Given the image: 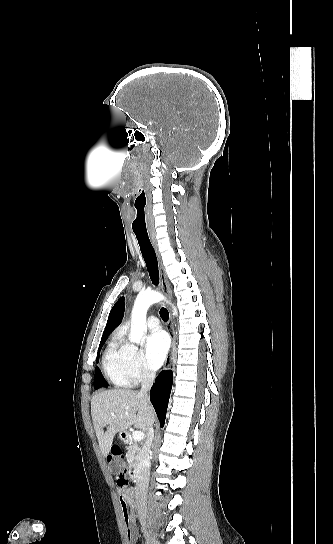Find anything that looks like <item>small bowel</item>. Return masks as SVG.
<instances>
[{
	"mask_svg": "<svg viewBox=\"0 0 333 544\" xmlns=\"http://www.w3.org/2000/svg\"><path fill=\"white\" fill-rule=\"evenodd\" d=\"M119 502L124 514L128 542L134 544L138 537V527L135 518L134 489H120Z\"/></svg>",
	"mask_w": 333,
	"mask_h": 544,
	"instance_id": "1",
	"label": "small bowel"
}]
</instances>
